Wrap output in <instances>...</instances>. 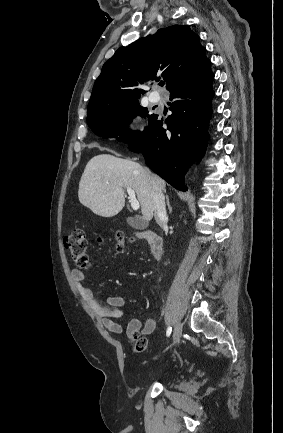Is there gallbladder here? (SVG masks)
Returning a JSON list of instances; mask_svg holds the SVG:
<instances>
[{
	"mask_svg": "<svg viewBox=\"0 0 283 433\" xmlns=\"http://www.w3.org/2000/svg\"><path fill=\"white\" fill-rule=\"evenodd\" d=\"M127 223L130 227H133V229H139V231H143V229H146L148 225V223L143 221L141 217H128Z\"/></svg>",
	"mask_w": 283,
	"mask_h": 433,
	"instance_id": "bac80fb5",
	"label": "gallbladder"
}]
</instances>
